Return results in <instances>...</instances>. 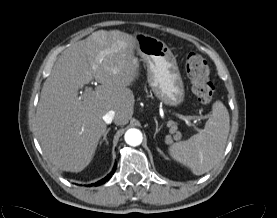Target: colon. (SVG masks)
I'll return each mask as SVG.
<instances>
[{
  "label": "colon",
  "instance_id": "5ec220e1",
  "mask_svg": "<svg viewBox=\"0 0 277 218\" xmlns=\"http://www.w3.org/2000/svg\"><path fill=\"white\" fill-rule=\"evenodd\" d=\"M185 67L196 98L203 104L211 102L215 88L209 78V67L205 58L191 52L186 58Z\"/></svg>",
  "mask_w": 277,
  "mask_h": 218
}]
</instances>
